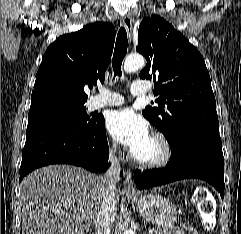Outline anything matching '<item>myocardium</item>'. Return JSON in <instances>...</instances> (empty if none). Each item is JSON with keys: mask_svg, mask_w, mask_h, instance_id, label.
Returning <instances> with one entry per match:
<instances>
[{"mask_svg": "<svg viewBox=\"0 0 241 234\" xmlns=\"http://www.w3.org/2000/svg\"><path fill=\"white\" fill-rule=\"evenodd\" d=\"M151 137L155 139L160 145V155L153 160H142L137 158L134 154H132L131 159L132 162L142 168L146 169H155L161 168L167 165L173 154L172 146L168 138L161 132L155 131L151 134Z\"/></svg>", "mask_w": 241, "mask_h": 234, "instance_id": "f54148a6", "label": "myocardium"}]
</instances>
